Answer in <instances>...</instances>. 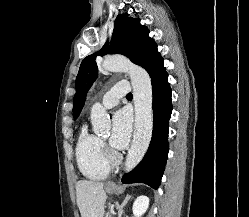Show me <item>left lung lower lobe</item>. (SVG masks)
<instances>
[{"label": "left lung lower lobe", "instance_id": "1", "mask_svg": "<svg viewBox=\"0 0 249 217\" xmlns=\"http://www.w3.org/2000/svg\"><path fill=\"white\" fill-rule=\"evenodd\" d=\"M153 93V133L142 161L122 178V183H145L158 189L168 156V127L172 112L171 88L163 60L151 74Z\"/></svg>", "mask_w": 249, "mask_h": 217}]
</instances>
